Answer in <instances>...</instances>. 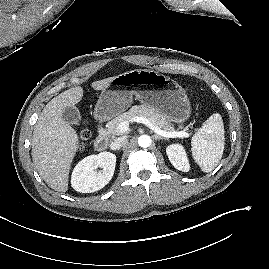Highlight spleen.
<instances>
[{
  "instance_id": "spleen-1",
  "label": "spleen",
  "mask_w": 269,
  "mask_h": 269,
  "mask_svg": "<svg viewBox=\"0 0 269 269\" xmlns=\"http://www.w3.org/2000/svg\"><path fill=\"white\" fill-rule=\"evenodd\" d=\"M224 134L222 117L214 113L192 137V156L203 172H211L219 164L224 151Z\"/></svg>"
}]
</instances>
